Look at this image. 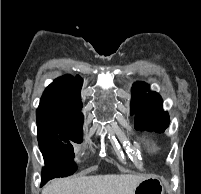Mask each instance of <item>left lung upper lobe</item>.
Returning a JSON list of instances; mask_svg holds the SVG:
<instances>
[{"instance_id":"1","label":"left lung upper lobe","mask_w":201,"mask_h":194,"mask_svg":"<svg viewBox=\"0 0 201 194\" xmlns=\"http://www.w3.org/2000/svg\"><path fill=\"white\" fill-rule=\"evenodd\" d=\"M149 88L144 82H137L132 87L131 114H135V128L162 133L169 126V115L163 111V101L158 93H146Z\"/></svg>"}]
</instances>
